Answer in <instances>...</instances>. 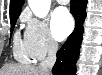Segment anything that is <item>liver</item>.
<instances>
[{
	"label": "liver",
	"mask_w": 102,
	"mask_h": 75,
	"mask_svg": "<svg viewBox=\"0 0 102 75\" xmlns=\"http://www.w3.org/2000/svg\"><path fill=\"white\" fill-rule=\"evenodd\" d=\"M0 75H50L36 66L22 64H6L0 69Z\"/></svg>",
	"instance_id": "obj_1"
}]
</instances>
